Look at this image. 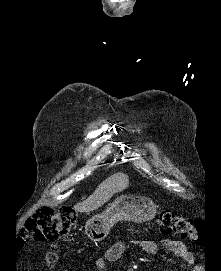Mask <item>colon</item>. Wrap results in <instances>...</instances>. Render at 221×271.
<instances>
[{
	"label": "colon",
	"mask_w": 221,
	"mask_h": 271,
	"mask_svg": "<svg viewBox=\"0 0 221 271\" xmlns=\"http://www.w3.org/2000/svg\"><path fill=\"white\" fill-rule=\"evenodd\" d=\"M77 212L69 205L59 208L42 206L36 209L26 223L21 239H33L35 242L56 241L60 237H73V225ZM158 228L164 233L181 235L193 242H203V224L190 217L181 216L171 211H162L158 216ZM57 246L52 245L45 255L46 263L53 267L57 262Z\"/></svg>",
	"instance_id": "obj_1"
}]
</instances>
